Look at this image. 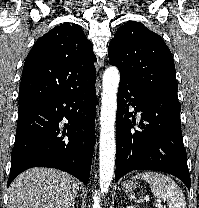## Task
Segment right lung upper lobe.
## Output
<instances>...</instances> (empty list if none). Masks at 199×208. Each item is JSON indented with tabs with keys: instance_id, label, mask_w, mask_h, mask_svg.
Wrapping results in <instances>:
<instances>
[{
	"instance_id": "1",
	"label": "right lung upper lobe",
	"mask_w": 199,
	"mask_h": 208,
	"mask_svg": "<svg viewBox=\"0 0 199 208\" xmlns=\"http://www.w3.org/2000/svg\"><path fill=\"white\" fill-rule=\"evenodd\" d=\"M95 61L92 43L79 25L56 26L27 55L19 106L84 87L96 78Z\"/></svg>"
}]
</instances>
